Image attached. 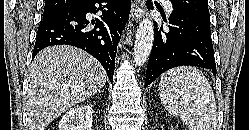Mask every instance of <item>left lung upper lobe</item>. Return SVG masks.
Segmentation results:
<instances>
[{
	"label": "left lung upper lobe",
	"mask_w": 249,
	"mask_h": 130,
	"mask_svg": "<svg viewBox=\"0 0 249 130\" xmlns=\"http://www.w3.org/2000/svg\"><path fill=\"white\" fill-rule=\"evenodd\" d=\"M173 9L209 22L207 0H171Z\"/></svg>",
	"instance_id": "obj_1"
}]
</instances>
